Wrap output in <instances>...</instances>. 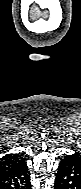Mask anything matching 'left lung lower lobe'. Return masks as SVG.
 Instances as JSON below:
<instances>
[{
  "label": "left lung lower lobe",
  "mask_w": 81,
  "mask_h": 189,
  "mask_svg": "<svg viewBox=\"0 0 81 189\" xmlns=\"http://www.w3.org/2000/svg\"><path fill=\"white\" fill-rule=\"evenodd\" d=\"M54 188L81 189V162L72 155H66L60 161Z\"/></svg>",
  "instance_id": "0a47b994"
}]
</instances>
